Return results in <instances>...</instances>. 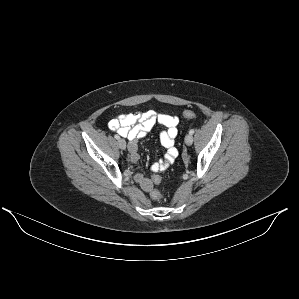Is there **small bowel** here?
I'll list each match as a JSON object with an SVG mask.
<instances>
[{"instance_id":"1","label":"small bowel","mask_w":299,"mask_h":299,"mask_svg":"<svg viewBox=\"0 0 299 299\" xmlns=\"http://www.w3.org/2000/svg\"><path fill=\"white\" fill-rule=\"evenodd\" d=\"M155 124H161L166 128L160 133V141L166 148L164 158L151 165L153 172H160L167 169L178 156V151L175 147V138L179 124L177 116L158 114L151 110L124 113L112 118L108 123V127L111 131L117 132L120 136L128 139L129 159L132 163H136L139 158L137 153L138 140L144 138ZM135 179L146 192L152 190V181L141 173H137Z\"/></svg>"}]
</instances>
